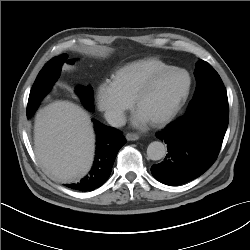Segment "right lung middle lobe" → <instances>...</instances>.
Returning <instances> with one entry per match:
<instances>
[{
  "instance_id": "obj_1",
  "label": "right lung middle lobe",
  "mask_w": 250,
  "mask_h": 250,
  "mask_svg": "<svg viewBox=\"0 0 250 250\" xmlns=\"http://www.w3.org/2000/svg\"><path fill=\"white\" fill-rule=\"evenodd\" d=\"M67 57V55H62L61 57L53 58L40 71L29 95L27 105L28 118L35 112L41 100L47 95L53 84L58 80L61 72V66L65 62L69 64H73L75 62V60H67ZM76 93L88 109H94V97L91 86L85 87L80 85L76 87Z\"/></svg>"
}]
</instances>
